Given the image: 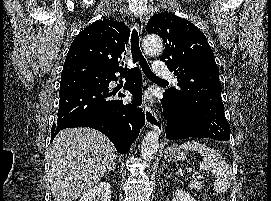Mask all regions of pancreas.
Returning <instances> with one entry per match:
<instances>
[{
	"instance_id": "1",
	"label": "pancreas",
	"mask_w": 271,
	"mask_h": 201,
	"mask_svg": "<svg viewBox=\"0 0 271 201\" xmlns=\"http://www.w3.org/2000/svg\"><path fill=\"white\" fill-rule=\"evenodd\" d=\"M191 187L195 188L196 190H201L202 189V185L200 182L194 181L191 183Z\"/></svg>"
}]
</instances>
